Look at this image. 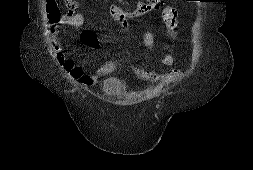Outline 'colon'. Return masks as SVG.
<instances>
[{
	"label": "colon",
	"mask_w": 253,
	"mask_h": 170,
	"mask_svg": "<svg viewBox=\"0 0 253 170\" xmlns=\"http://www.w3.org/2000/svg\"><path fill=\"white\" fill-rule=\"evenodd\" d=\"M66 2H70L66 0ZM47 12L50 16V19L52 22H58L60 18L62 17L63 13L60 7L58 6V0H47ZM68 15H72L71 11H68ZM177 19V14H173L171 18V22H175ZM177 25V21L175 22Z\"/></svg>",
	"instance_id": "colon-1"
}]
</instances>
